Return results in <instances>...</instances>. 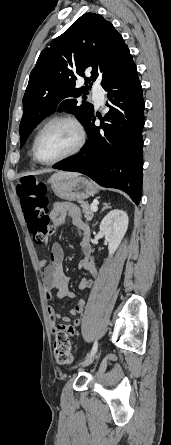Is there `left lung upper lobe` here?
<instances>
[{
	"mask_svg": "<svg viewBox=\"0 0 171 445\" xmlns=\"http://www.w3.org/2000/svg\"><path fill=\"white\" fill-rule=\"evenodd\" d=\"M134 63L122 36L101 15L86 13L44 49L32 70L23 97L19 127L20 147L36 126L59 107L74 114L85 125L93 105L77 101L101 78L103 86L115 73ZM90 71L91 77L85 73ZM84 77L85 87L75 81ZM85 98L86 96H82Z\"/></svg>",
	"mask_w": 171,
	"mask_h": 445,
	"instance_id": "left-lung-upper-lobe-1",
	"label": "left lung upper lobe"
}]
</instances>
